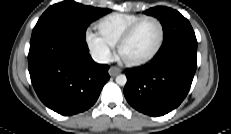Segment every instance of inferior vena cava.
<instances>
[{
    "label": "inferior vena cava",
    "mask_w": 231,
    "mask_h": 134,
    "mask_svg": "<svg viewBox=\"0 0 231 134\" xmlns=\"http://www.w3.org/2000/svg\"><path fill=\"white\" fill-rule=\"evenodd\" d=\"M92 58L94 61L97 63H108L109 62V57L105 54H100V53H93Z\"/></svg>",
    "instance_id": "602c4592"
}]
</instances>
